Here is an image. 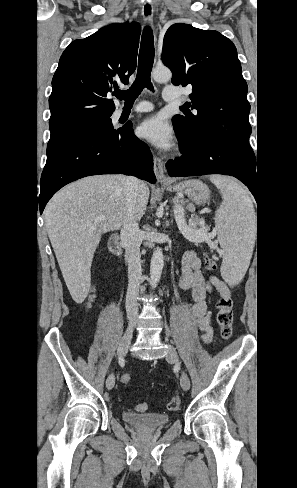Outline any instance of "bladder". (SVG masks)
<instances>
[{"label":"bladder","mask_w":297,"mask_h":488,"mask_svg":"<svg viewBox=\"0 0 297 488\" xmlns=\"http://www.w3.org/2000/svg\"><path fill=\"white\" fill-rule=\"evenodd\" d=\"M123 420L134 428L141 430H156L168 424L170 417L164 413L151 412L139 414L125 411L122 413Z\"/></svg>","instance_id":"bladder-1"}]
</instances>
